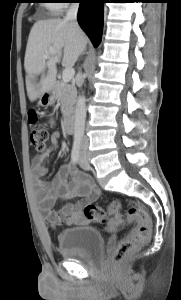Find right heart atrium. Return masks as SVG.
<instances>
[{
    "label": "right heart atrium",
    "instance_id": "right-heart-atrium-1",
    "mask_svg": "<svg viewBox=\"0 0 181 300\" xmlns=\"http://www.w3.org/2000/svg\"><path fill=\"white\" fill-rule=\"evenodd\" d=\"M55 1L57 2L55 4L58 6L59 10L61 11L67 6L66 2H68L70 0H55Z\"/></svg>",
    "mask_w": 181,
    "mask_h": 300
}]
</instances>
